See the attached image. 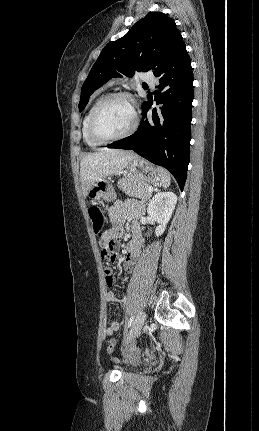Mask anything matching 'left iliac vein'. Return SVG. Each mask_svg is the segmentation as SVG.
Wrapping results in <instances>:
<instances>
[{"label":"left iliac vein","mask_w":259,"mask_h":431,"mask_svg":"<svg viewBox=\"0 0 259 431\" xmlns=\"http://www.w3.org/2000/svg\"><path fill=\"white\" fill-rule=\"evenodd\" d=\"M145 320H146V314L144 312H140L138 314V316L136 317L130 331L128 332V334L126 335V337L124 339L125 345H128L129 343H131L132 341L135 340V338L140 333V331L144 325Z\"/></svg>","instance_id":"obj_1"}]
</instances>
